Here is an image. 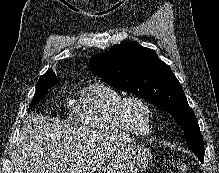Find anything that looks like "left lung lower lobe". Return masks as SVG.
<instances>
[{
	"label": "left lung lower lobe",
	"mask_w": 219,
	"mask_h": 173,
	"mask_svg": "<svg viewBox=\"0 0 219 173\" xmlns=\"http://www.w3.org/2000/svg\"><path fill=\"white\" fill-rule=\"evenodd\" d=\"M198 158L200 159L201 162H204V157L198 156Z\"/></svg>",
	"instance_id": "1"
}]
</instances>
